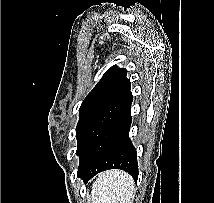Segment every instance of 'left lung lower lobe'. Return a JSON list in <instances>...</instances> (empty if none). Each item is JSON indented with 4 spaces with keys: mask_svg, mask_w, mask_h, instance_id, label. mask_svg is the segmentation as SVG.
I'll use <instances>...</instances> for the list:
<instances>
[{
    "mask_svg": "<svg viewBox=\"0 0 214 203\" xmlns=\"http://www.w3.org/2000/svg\"><path fill=\"white\" fill-rule=\"evenodd\" d=\"M132 98L129 83L90 125L77 150V177L87 182L99 172L121 169L138 179L136 149L129 138Z\"/></svg>",
    "mask_w": 214,
    "mask_h": 203,
    "instance_id": "obj_1",
    "label": "left lung lower lobe"
}]
</instances>
